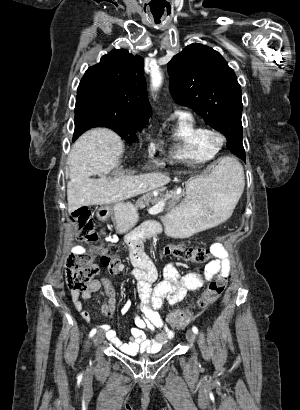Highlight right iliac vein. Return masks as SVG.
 Wrapping results in <instances>:
<instances>
[{
  "label": "right iliac vein",
  "mask_w": 300,
  "mask_h": 410,
  "mask_svg": "<svg viewBox=\"0 0 300 410\" xmlns=\"http://www.w3.org/2000/svg\"><path fill=\"white\" fill-rule=\"evenodd\" d=\"M103 333L100 331L97 334H95L93 338V343L95 346L99 345L103 341Z\"/></svg>",
  "instance_id": "obj_1"
}]
</instances>
